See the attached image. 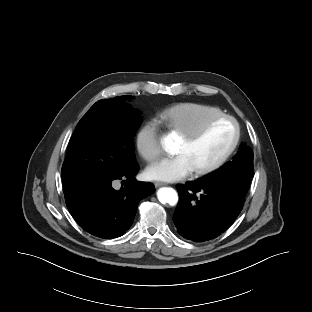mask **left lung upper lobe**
<instances>
[{
  "label": "left lung upper lobe",
  "mask_w": 312,
  "mask_h": 312,
  "mask_svg": "<svg viewBox=\"0 0 312 312\" xmlns=\"http://www.w3.org/2000/svg\"><path fill=\"white\" fill-rule=\"evenodd\" d=\"M253 176V151L244 144L231 162L206 178L227 181L246 195Z\"/></svg>",
  "instance_id": "left-lung-upper-lobe-1"
}]
</instances>
